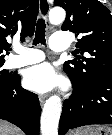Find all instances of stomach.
I'll return each instance as SVG.
<instances>
[{"label":"stomach","instance_id":"1","mask_svg":"<svg viewBox=\"0 0 112 135\" xmlns=\"http://www.w3.org/2000/svg\"><path fill=\"white\" fill-rule=\"evenodd\" d=\"M70 135H112V129L103 125H92L71 132Z\"/></svg>","mask_w":112,"mask_h":135}]
</instances>
